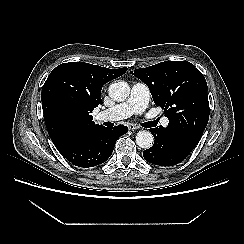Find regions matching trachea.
<instances>
[{
  "label": "trachea",
  "instance_id": "obj_1",
  "mask_svg": "<svg viewBox=\"0 0 244 244\" xmlns=\"http://www.w3.org/2000/svg\"><path fill=\"white\" fill-rule=\"evenodd\" d=\"M158 123V119L155 121H149L143 124L144 127L150 128V127H154L155 125H157Z\"/></svg>",
  "mask_w": 244,
  "mask_h": 244
}]
</instances>
